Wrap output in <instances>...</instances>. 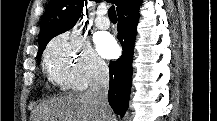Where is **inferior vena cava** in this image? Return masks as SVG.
<instances>
[{
  "label": "inferior vena cava",
  "instance_id": "inferior-vena-cava-1",
  "mask_svg": "<svg viewBox=\"0 0 217 121\" xmlns=\"http://www.w3.org/2000/svg\"><path fill=\"white\" fill-rule=\"evenodd\" d=\"M109 70L102 63H97L93 69L92 79L86 95L99 107L102 121H112L111 110L108 104Z\"/></svg>",
  "mask_w": 217,
  "mask_h": 121
}]
</instances>
